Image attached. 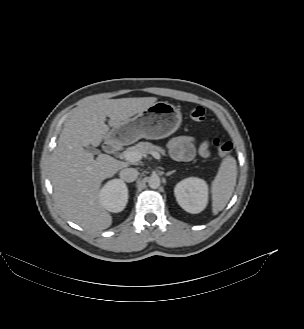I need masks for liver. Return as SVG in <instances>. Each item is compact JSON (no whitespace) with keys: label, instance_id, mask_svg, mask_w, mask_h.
Instances as JSON below:
<instances>
[{"label":"liver","instance_id":"1","mask_svg":"<svg viewBox=\"0 0 304 329\" xmlns=\"http://www.w3.org/2000/svg\"><path fill=\"white\" fill-rule=\"evenodd\" d=\"M156 101V97L89 101L65 124L52 154L50 180L56 202L68 219L91 231L111 226L112 217L99 199L100 186L127 163L107 154L94 159L83 147L99 146L109 126L119 127ZM106 117L110 118L109 126Z\"/></svg>","mask_w":304,"mask_h":329}]
</instances>
